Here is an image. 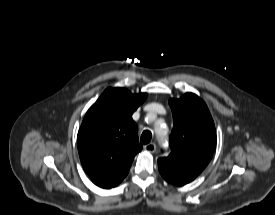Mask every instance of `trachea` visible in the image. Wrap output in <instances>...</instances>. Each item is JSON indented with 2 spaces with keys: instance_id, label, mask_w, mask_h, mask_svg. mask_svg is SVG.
Masks as SVG:
<instances>
[{
  "instance_id": "obj_1",
  "label": "trachea",
  "mask_w": 275,
  "mask_h": 215,
  "mask_svg": "<svg viewBox=\"0 0 275 215\" xmlns=\"http://www.w3.org/2000/svg\"><path fill=\"white\" fill-rule=\"evenodd\" d=\"M151 138H152V133L149 130H145V131H143V133L141 135L140 142L142 144H148V143H150Z\"/></svg>"
}]
</instances>
